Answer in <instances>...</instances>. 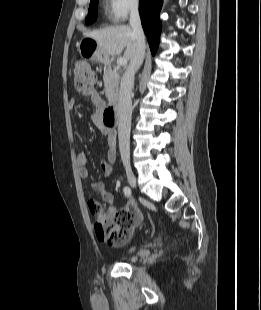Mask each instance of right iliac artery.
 Masks as SVG:
<instances>
[{"label":"right iliac artery","mask_w":261,"mask_h":310,"mask_svg":"<svg viewBox=\"0 0 261 310\" xmlns=\"http://www.w3.org/2000/svg\"><path fill=\"white\" fill-rule=\"evenodd\" d=\"M123 192L126 196L131 195V189L129 187H124Z\"/></svg>","instance_id":"82829eb1"}]
</instances>
